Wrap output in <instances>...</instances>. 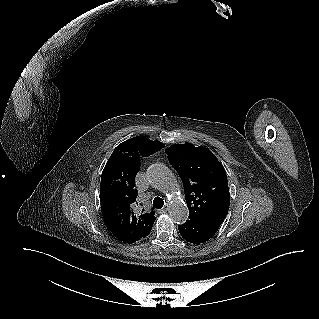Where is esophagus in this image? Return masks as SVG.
Instances as JSON below:
<instances>
[{
    "label": "esophagus",
    "instance_id": "34e87169",
    "mask_svg": "<svg viewBox=\"0 0 319 319\" xmlns=\"http://www.w3.org/2000/svg\"><path fill=\"white\" fill-rule=\"evenodd\" d=\"M167 210H168V208L165 207V208H162V209L158 210V213L159 214H165L167 212Z\"/></svg>",
    "mask_w": 319,
    "mask_h": 319
}]
</instances>
